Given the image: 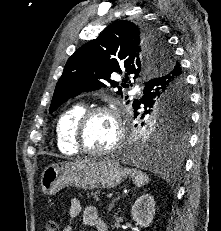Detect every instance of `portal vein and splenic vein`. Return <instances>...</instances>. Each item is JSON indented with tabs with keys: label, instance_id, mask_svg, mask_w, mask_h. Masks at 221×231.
I'll use <instances>...</instances> for the list:
<instances>
[{
	"label": "portal vein and splenic vein",
	"instance_id": "portal-vein-and-splenic-vein-1",
	"mask_svg": "<svg viewBox=\"0 0 221 231\" xmlns=\"http://www.w3.org/2000/svg\"><path fill=\"white\" fill-rule=\"evenodd\" d=\"M112 196H113V194H112V193H108V194H106V197H107V198H112Z\"/></svg>",
	"mask_w": 221,
	"mask_h": 231
}]
</instances>
